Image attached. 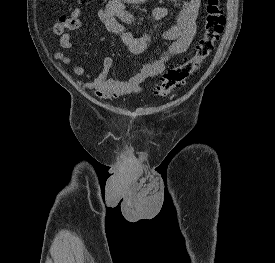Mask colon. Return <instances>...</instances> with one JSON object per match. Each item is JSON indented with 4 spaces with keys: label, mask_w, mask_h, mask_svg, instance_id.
Listing matches in <instances>:
<instances>
[{
    "label": "colon",
    "mask_w": 275,
    "mask_h": 263,
    "mask_svg": "<svg viewBox=\"0 0 275 263\" xmlns=\"http://www.w3.org/2000/svg\"><path fill=\"white\" fill-rule=\"evenodd\" d=\"M225 22L221 0H207L203 32L194 52L180 64L171 66L163 72L160 81L152 89L155 96L170 95L174 89L185 84L198 73L202 65L212 56L215 45L224 30Z\"/></svg>",
    "instance_id": "colon-1"
}]
</instances>
